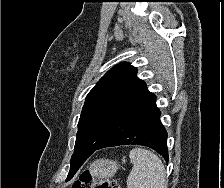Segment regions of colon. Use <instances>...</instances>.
<instances>
[{"label": "colon", "mask_w": 224, "mask_h": 188, "mask_svg": "<svg viewBox=\"0 0 224 188\" xmlns=\"http://www.w3.org/2000/svg\"><path fill=\"white\" fill-rule=\"evenodd\" d=\"M71 188H120V185L114 180L96 179L92 171L86 169L73 181Z\"/></svg>", "instance_id": "1"}]
</instances>
